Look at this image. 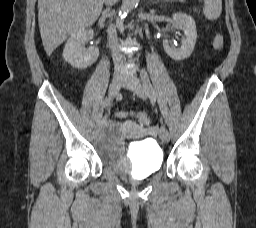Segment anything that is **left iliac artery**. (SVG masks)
Returning <instances> with one entry per match:
<instances>
[{
  "label": "left iliac artery",
  "mask_w": 256,
  "mask_h": 228,
  "mask_svg": "<svg viewBox=\"0 0 256 228\" xmlns=\"http://www.w3.org/2000/svg\"><path fill=\"white\" fill-rule=\"evenodd\" d=\"M140 77H141L142 85H143L144 89L146 90V93L149 96V98L150 99H155L156 94H155V91L152 87L149 76H148L145 69L141 70Z\"/></svg>",
  "instance_id": "44dca946"
}]
</instances>
